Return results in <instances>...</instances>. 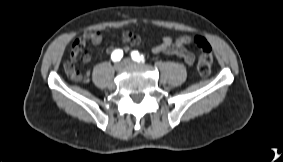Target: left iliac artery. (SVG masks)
Returning <instances> with one entry per match:
<instances>
[{"mask_svg": "<svg viewBox=\"0 0 283 162\" xmlns=\"http://www.w3.org/2000/svg\"><path fill=\"white\" fill-rule=\"evenodd\" d=\"M131 57L134 61H137V62H143L144 61V57L142 55H140L138 51H133L131 53Z\"/></svg>", "mask_w": 283, "mask_h": 162, "instance_id": "44dca946", "label": "left iliac artery"}]
</instances>
